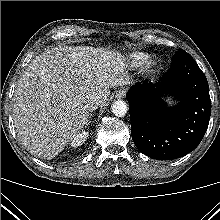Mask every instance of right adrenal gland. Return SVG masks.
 <instances>
[{
	"mask_svg": "<svg viewBox=\"0 0 220 220\" xmlns=\"http://www.w3.org/2000/svg\"><path fill=\"white\" fill-rule=\"evenodd\" d=\"M91 117H92V114L89 116V121H88L87 124H86L87 126H88V125L90 124V122H91V121H90V118H91Z\"/></svg>",
	"mask_w": 220,
	"mask_h": 220,
	"instance_id": "1",
	"label": "right adrenal gland"
}]
</instances>
